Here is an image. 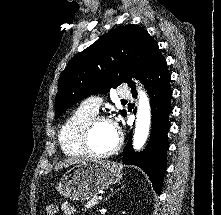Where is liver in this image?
<instances>
[{
	"instance_id": "obj_1",
	"label": "liver",
	"mask_w": 221,
	"mask_h": 215,
	"mask_svg": "<svg viewBox=\"0 0 221 215\" xmlns=\"http://www.w3.org/2000/svg\"><path fill=\"white\" fill-rule=\"evenodd\" d=\"M85 161L83 160H75V159H67V160H64L60 163H58L56 166H55V170L58 171L64 167H69L73 164H80V163H83Z\"/></svg>"
}]
</instances>
